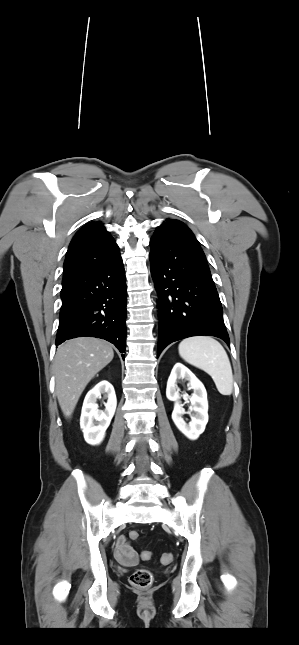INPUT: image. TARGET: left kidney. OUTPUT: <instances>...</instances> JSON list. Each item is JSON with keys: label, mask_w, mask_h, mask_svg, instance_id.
I'll use <instances>...</instances> for the list:
<instances>
[{"label": "left kidney", "mask_w": 299, "mask_h": 645, "mask_svg": "<svg viewBox=\"0 0 299 645\" xmlns=\"http://www.w3.org/2000/svg\"><path fill=\"white\" fill-rule=\"evenodd\" d=\"M184 379L189 382L191 389L194 393L191 397L187 394L183 395L185 400H190L193 405L194 415L191 416V421L187 424L183 415L185 411L180 405V394L177 391V380ZM166 396L170 401H174V410L172 412V420L177 428L189 439L196 440L200 434L205 430L208 422V401L207 392L200 380L183 364L176 363L168 378Z\"/></svg>", "instance_id": "obj_1"}]
</instances>
